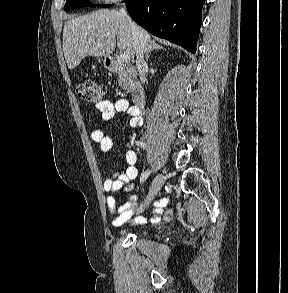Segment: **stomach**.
<instances>
[{
  "label": "stomach",
  "mask_w": 288,
  "mask_h": 293,
  "mask_svg": "<svg viewBox=\"0 0 288 293\" xmlns=\"http://www.w3.org/2000/svg\"><path fill=\"white\" fill-rule=\"evenodd\" d=\"M99 61H101V60L99 59ZM102 61H103L104 67L107 68V69H110V60H109V58L104 57V59H102Z\"/></svg>",
  "instance_id": "obj_1"
}]
</instances>
